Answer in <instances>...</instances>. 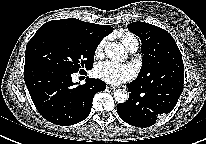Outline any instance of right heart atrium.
Wrapping results in <instances>:
<instances>
[{
	"instance_id": "obj_1",
	"label": "right heart atrium",
	"mask_w": 206,
	"mask_h": 144,
	"mask_svg": "<svg viewBox=\"0 0 206 144\" xmlns=\"http://www.w3.org/2000/svg\"><path fill=\"white\" fill-rule=\"evenodd\" d=\"M104 44H105V40H102L101 42H99V44L97 45L96 49H95V55L96 57H100L102 55L103 52V48H104Z\"/></svg>"
}]
</instances>
